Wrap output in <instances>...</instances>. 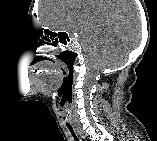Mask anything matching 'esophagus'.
<instances>
[{"mask_svg":"<svg viewBox=\"0 0 157 141\" xmlns=\"http://www.w3.org/2000/svg\"><path fill=\"white\" fill-rule=\"evenodd\" d=\"M78 131L80 132V130L78 129ZM81 137L83 138V136L81 135Z\"/></svg>","mask_w":157,"mask_h":141,"instance_id":"34e87169","label":"esophagus"}]
</instances>
